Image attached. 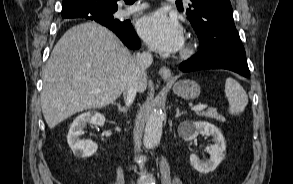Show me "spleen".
<instances>
[{"mask_svg": "<svg viewBox=\"0 0 293 184\" xmlns=\"http://www.w3.org/2000/svg\"><path fill=\"white\" fill-rule=\"evenodd\" d=\"M225 96L229 102V113L232 115L243 112L248 104V95L235 79L228 77L225 81Z\"/></svg>", "mask_w": 293, "mask_h": 184, "instance_id": "spleen-1", "label": "spleen"}]
</instances>
